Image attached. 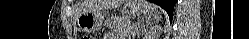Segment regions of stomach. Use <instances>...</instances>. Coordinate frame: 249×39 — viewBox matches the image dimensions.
<instances>
[{
    "instance_id": "0dacf381",
    "label": "stomach",
    "mask_w": 249,
    "mask_h": 39,
    "mask_svg": "<svg viewBox=\"0 0 249 39\" xmlns=\"http://www.w3.org/2000/svg\"><path fill=\"white\" fill-rule=\"evenodd\" d=\"M124 9L134 16L147 12V6L142 0H126ZM103 21L104 11L95 9L81 14L78 18V26L83 32L92 33L102 28Z\"/></svg>"
}]
</instances>
